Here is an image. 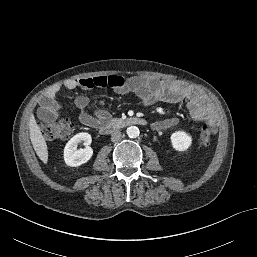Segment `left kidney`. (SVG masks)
Returning <instances> with one entry per match:
<instances>
[{"instance_id": "left-kidney-1", "label": "left kidney", "mask_w": 257, "mask_h": 257, "mask_svg": "<svg viewBox=\"0 0 257 257\" xmlns=\"http://www.w3.org/2000/svg\"><path fill=\"white\" fill-rule=\"evenodd\" d=\"M170 139H171L172 147L176 151H180V152L187 150L191 146V143H192L191 136L184 131L174 132L171 135Z\"/></svg>"}]
</instances>
